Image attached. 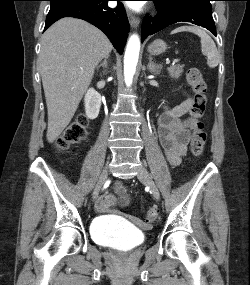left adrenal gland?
I'll list each match as a JSON object with an SVG mask.
<instances>
[{"instance_id": "obj_1", "label": "left adrenal gland", "mask_w": 250, "mask_h": 285, "mask_svg": "<svg viewBox=\"0 0 250 285\" xmlns=\"http://www.w3.org/2000/svg\"><path fill=\"white\" fill-rule=\"evenodd\" d=\"M147 69H148L151 73L157 75V74H159V72H160V70H161V65L154 63L152 56H149V63H148V65H147Z\"/></svg>"}]
</instances>
